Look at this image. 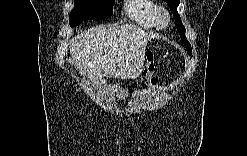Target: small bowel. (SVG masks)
Instances as JSON below:
<instances>
[{"instance_id":"small-bowel-1","label":"small bowel","mask_w":247,"mask_h":156,"mask_svg":"<svg viewBox=\"0 0 247 156\" xmlns=\"http://www.w3.org/2000/svg\"><path fill=\"white\" fill-rule=\"evenodd\" d=\"M154 73V64L152 61H149L148 65L144 70V75L147 78V82L149 86H153L155 84V78L153 77Z\"/></svg>"}]
</instances>
